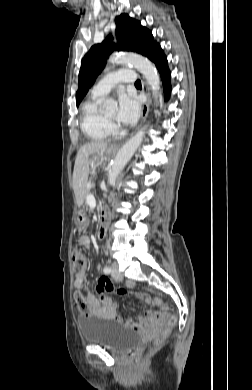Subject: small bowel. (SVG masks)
Wrapping results in <instances>:
<instances>
[{
    "mask_svg": "<svg viewBox=\"0 0 252 390\" xmlns=\"http://www.w3.org/2000/svg\"><path fill=\"white\" fill-rule=\"evenodd\" d=\"M80 244L84 248H89V237H81ZM86 280L87 274L85 270L80 273H77L74 279V288L77 290L84 289L86 287ZM110 286L111 284L109 280L105 277H102L100 278L96 288L97 292L99 293V297H95L90 292L86 293V302L94 316L100 317L105 320H111L146 336H152L161 330L164 321V314L159 311L151 309L147 310L143 315L137 316L135 320H124L120 316H118L116 311V304L113 301L112 296L106 292L108 291V287ZM146 303H152L150 298L146 301Z\"/></svg>",
    "mask_w": 252,
    "mask_h": 390,
    "instance_id": "obj_1",
    "label": "small bowel"
}]
</instances>
